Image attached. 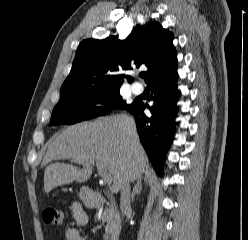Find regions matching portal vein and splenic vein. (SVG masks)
I'll return each instance as SVG.
<instances>
[{
  "mask_svg": "<svg viewBox=\"0 0 248 240\" xmlns=\"http://www.w3.org/2000/svg\"><path fill=\"white\" fill-rule=\"evenodd\" d=\"M96 166H97L99 175L103 179L104 183L110 185L113 180L111 173L107 172L106 167L103 165L96 164Z\"/></svg>",
  "mask_w": 248,
  "mask_h": 240,
  "instance_id": "obj_1",
  "label": "portal vein and splenic vein"
}]
</instances>
